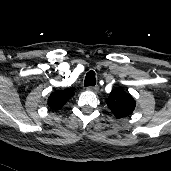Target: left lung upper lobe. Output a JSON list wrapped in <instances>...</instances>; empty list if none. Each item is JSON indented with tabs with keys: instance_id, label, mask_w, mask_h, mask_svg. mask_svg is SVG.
<instances>
[{
	"instance_id": "1",
	"label": "left lung upper lobe",
	"mask_w": 171,
	"mask_h": 171,
	"mask_svg": "<svg viewBox=\"0 0 171 171\" xmlns=\"http://www.w3.org/2000/svg\"><path fill=\"white\" fill-rule=\"evenodd\" d=\"M106 102L116 118L129 117L136 106L134 98L120 87L110 93Z\"/></svg>"
}]
</instances>
